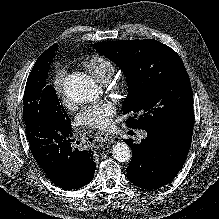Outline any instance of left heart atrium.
I'll use <instances>...</instances> for the list:
<instances>
[{
	"instance_id": "39dd6f15",
	"label": "left heart atrium",
	"mask_w": 219,
	"mask_h": 219,
	"mask_svg": "<svg viewBox=\"0 0 219 219\" xmlns=\"http://www.w3.org/2000/svg\"><path fill=\"white\" fill-rule=\"evenodd\" d=\"M116 113L113 102L102 101L86 107L78 116L79 122L91 128H105L110 124V118Z\"/></svg>"
}]
</instances>
